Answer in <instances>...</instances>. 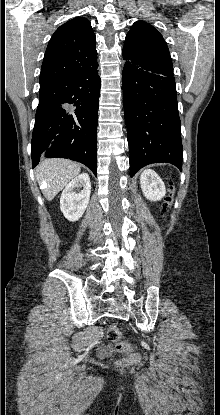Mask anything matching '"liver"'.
<instances>
[{
    "mask_svg": "<svg viewBox=\"0 0 220 415\" xmlns=\"http://www.w3.org/2000/svg\"><path fill=\"white\" fill-rule=\"evenodd\" d=\"M80 173V165L66 159H47L36 168V178L45 185L43 194L51 201Z\"/></svg>",
    "mask_w": 220,
    "mask_h": 415,
    "instance_id": "liver-1",
    "label": "liver"
}]
</instances>
